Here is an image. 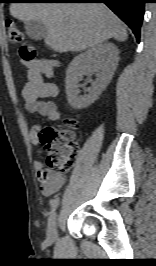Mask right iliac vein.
Returning a JSON list of instances; mask_svg holds the SVG:
<instances>
[{
    "instance_id": "1",
    "label": "right iliac vein",
    "mask_w": 156,
    "mask_h": 266,
    "mask_svg": "<svg viewBox=\"0 0 156 266\" xmlns=\"http://www.w3.org/2000/svg\"><path fill=\"white\" fill-rule=\"evenodd\" d=\"M47 238L53 242L57 238V214L53 213L48 221Z\"/></svg>"
}]
</instances>
